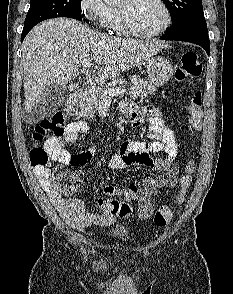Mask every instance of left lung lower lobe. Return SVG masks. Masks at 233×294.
I'll return each instance as SVG.
<instances>
[{"label": "left lung lower lobe", "instance_id": "0a47b994", "mask_svg": "<svg viewBox=\"0 0 233 294\" xmlns=\"http://www.w3.org/2000/svg\"><path fill=\"white\" fill-rule=\"evenodd\" d=\"M160 38L164 40L191 42L203 47L207 54H210V41L207 28H189L173 33L166 32Z\"/></svg>", "mask_w": 233, "mask_h": 294}]
</instances>
